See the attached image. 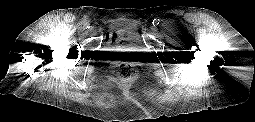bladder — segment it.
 I'll list each match as a JSON object with an SVG mask.
<instances>
[{
  "label": "bladder",
  "instance_id": "obj_1",
  "mask_svg": "<svg viewBox=\"0 0 255 122\" xmlns=\"http://www.w3.org/2000/svg\"><path fill=\"white\" fill-rule=\"evenodd\" d=\"M139 35L137 29L129 24L114 27L107 35L109 45L135 46L138 43Z\"/></svg>",
  "mask_w": 255,
  "mask_h": 122
}]
</instances>
